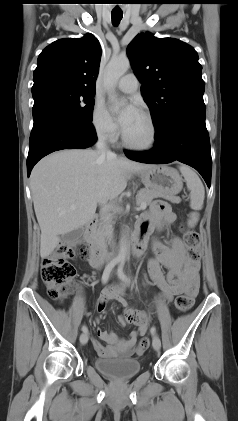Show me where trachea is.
Masks as SVG:
<instances>
[{"label": "trachea", "instance_id": "obj_1", "mask_svg": "<svg viewBox=\"0 0 238 421\" xmlns=\"http://www.w3.org/2000/svg\"><path fill=\"white\" fill-rule=\"evenodd\" d=\"M123 17L122 13H111L112 23L117 26Z\"/></svg>", "mask_w": 238, "mask_h": 421}]
</instances>
